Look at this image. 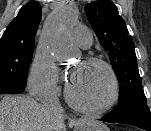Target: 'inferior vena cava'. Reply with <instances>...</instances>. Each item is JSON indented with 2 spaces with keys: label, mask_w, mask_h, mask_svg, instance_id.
I'll list each match as a JSON object with an SVG mask.
<instances>
[{
  "label": "inferior vena cava",
  "mask_w": 151,
  "mask_h": 131,
  "mask_svg": "<svg viewBox=\"0 0 151 131\" xmlns=\"http://www.w3.org/2000/svg\"><path fill=\"white\" fill-rule=\"evenodd\" d=\"M42 107L47 111H52L55 114L61 110V105L55 92L46 89L41 98Z\"/></svg>",
  "instance_id": "inferior-vena-cava-1"
}]
</instances>
